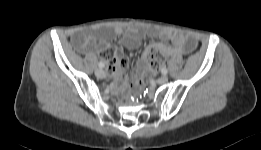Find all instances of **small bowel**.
<instances>
[{"instance_id": "obj_1", "label": "small bowel", "mask_w": 261, "mask_h": 150, "mask_svg": "<svg viewBox=\"0 0 261 150\" xmlns=\"http://www.w3.org/2000/svg\"><path fill=\"white\" fill-rule=\"evenodd\" d=\"M122 35V44L130 49H136L141 40L148 36L151 38H160L167 44H156L162 51L171 57H177L180 54L192 51L196 43L193 39L169 28L156 26H131L126 31L117 26L111 31L93 29L78 30L72 35L73 45L80 51L92 54L100 52L102 57L112 62V71L116 78L122 80L126 76V71L129 67L127 60L123 57L120 49L110 50V45L113 37ZM145 65L144 58L140 59L137 66H130L128 72L135 76L139 69ZM139 68V69H138Z\"/></svg>"}]
</instances>
